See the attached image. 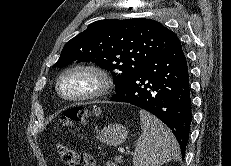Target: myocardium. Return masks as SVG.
Returning a JSON list of instances; mask_svg holds the SVG:
<instances>
[{
    "label": "myocardium",
    "mask_w": 231,
    "mask_h": 166,
    "mask_svg": "<svg viewBox=\"0 0 231 166\" xmlns=\"http://www.w3.org/2000/svg\"><path fill=\"white\" fill-rule=\"evenodd\" d=\"M75 72L87 73L95 80V86L84 93L67 95L62 92V80ZM113 87V79L110 73L103 67L94 63H77L66 67L60 72L55 82V90L57 95L65 101L83 102L98 99L110 93Z\"/></svg>",
    "instance_id": "1"
}]
</instances>
